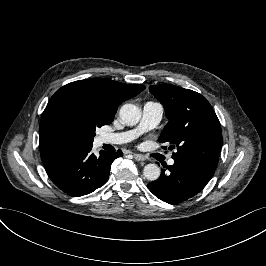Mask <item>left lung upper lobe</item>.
Returning a JSON list of instances; mask_svg holds the SVG:
<instances>
[{
    "label": "left lung upper lobe",
    "mask_w": 266,
    "mask_h": 266,
    "mask_svg": "<svg viewBox=\"0 0 266 266\" xmlns=\"http://www.w3.org/2000/svg\"><path fill=\"white\" fill-rule=\"evenodd\" d=\"M149 90L162 103L169 119L158 141L176 147L172 158L196 160L216 168L222 131L210 103L195 91L173 85H153Z\"/></svg>",
    "instance_id": "5c2ea615"
}]
</instances>
